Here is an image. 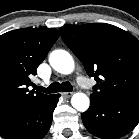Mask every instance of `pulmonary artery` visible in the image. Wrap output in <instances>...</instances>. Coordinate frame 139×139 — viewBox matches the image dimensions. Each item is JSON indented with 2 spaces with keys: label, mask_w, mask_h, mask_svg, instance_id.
Returning a JSON list of instances; mask_svg holds the SVG:
<instances>
[{
  "label": "pulmonary artery",
  "mask_w": 139,
  "mask_h": 139,
  "mask_svg": "<svg viewBox=\"0 0 139 139\" xmlns=\"http://www.w3.org/2000/svg\"><path fill=\"white\" fill-rule=\"evenodd\" d=\"M78 82L79 84H81L82 86H86L87 85V81L84 77L80 76L78 77Z\"/></svg>",
  "instance_id": "e3ab8cb5"
}]
</instances>
